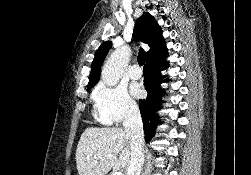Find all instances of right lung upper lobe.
I'll use <instances>...</instances> for the list:
<instances>
[{"instance_id": "obj_1", "label": "right lung upper lobe", "mask_w": 251, "mask_h": 175, "mask_svg": "<svg viewBox=\"0 0 251 175\" xmlns=\"http://www.w3.org/2000/svg\"><path fill=\"white\" fill-rule=\"evenodd\" d=\"M133 39L135 41L141 40L150 47V50L147 52L146 63L159 61L167 54L160 26L149 13H144L137 19L133 31ZM111 44V41H106L96 51L87 89L92 88L98 82L101 65L111 48Z\"/></svg>"}]
</instances>
